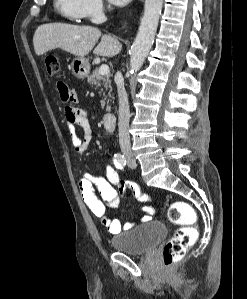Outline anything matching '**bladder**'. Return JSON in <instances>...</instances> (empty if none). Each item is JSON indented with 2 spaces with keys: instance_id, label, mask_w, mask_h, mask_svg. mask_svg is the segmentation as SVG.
Segmentation results:
<instances>
[{
  "instance_id": "1",
  "label": "bladder",
  "mask_w": 247,
  "mask_h": 299,
  "mask_svg": "<svg viewBox=\"0 0 247 299\" xmlns=\"http://www.w3.org/2000/svg\"><path fill=\"white\" fill-rule=\"evenodd\" d=\"M166 227L159 221H149L111 238V245L119 252L142 255L152 250L166 235Z\"/></svg>"
}]
</instances>
